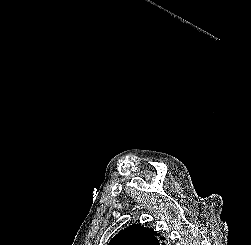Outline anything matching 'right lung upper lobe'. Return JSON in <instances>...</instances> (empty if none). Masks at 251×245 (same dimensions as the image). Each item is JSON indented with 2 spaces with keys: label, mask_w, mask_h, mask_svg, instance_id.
I'll use <instances>...</instances> for the list:
<instances>
[{
  "label": "right lung upper lobe",
  "mask_w": 251,
  "mask_h": 245,
  "mask_svg": "<svg viewBox=\"0 0 251 245\" xmlns=\"http://www.w3.org/2000/svg\"><path fill=\"white\" fill-rule=\"evenodd\" d=\"M164 237L152 229L132 224L120 231L109 243V245H166Z\"/></svg>",
  "instance_id": "obj_1"
}]
</instances>
